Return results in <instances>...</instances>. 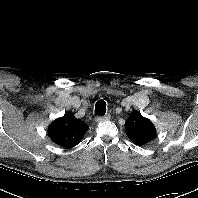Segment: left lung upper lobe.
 <instances>
[{"label":"left lung upper lobe","instance_id":"left-lung-upper-lobe-1","mask_svg":"<svg viewBox=\"0 0 198 198\" xmlns=\"http://www.w3.org/2000/svg\"><path fill=\"white\" fill-rule=\"evenodd\" d=\"M126 135L136 145L142 146L152 141L156 136L154 125L148 118L135 111L125 122Z\"/></svg>","mask_w":198,"mask_h":198}]
</instances>
